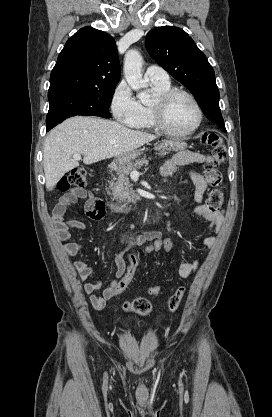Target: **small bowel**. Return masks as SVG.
<instances>
[{"instance_id": "obj_1", "label": "small bowel", "mask_w": 272, "mask_h": 417, "mask_svg": "<svg viewBox=\"0 0 272 417\" xmlns=\"http://www.w3.org/2000/svg\"><path fill=\"white\" fill-rule=\"evenodd\" d=\"M210 162L211 156L192 151H180L173 157L164 162L160 168L162 177H169L173 175L181 166H187L192 163ZM192 180L195 191L194 198L199 203L195 207V213L208 221L214 232H218L221 228L224 212H223V197L216 188L221 183V174L216 169H208L204 174L196 173L192 170L188 172ZM212 189L209 193L208 191ZM84 201V210L86 215L92 220H101L105 216V207L101 198L94 195L92 192L84 188H72L57 201L52 218L56 226L57 236L61 241H65L62 251L66 256H75L80 254L84 245L71 240V231L73 229L85 230L86 225L78 220H66L65 213L69 206ZM162 236L160 231H147L142 235L128 241L121 251L117 252L113 257V263L116 267L115 277L106 286L101 295L94 294L102 288V280L95 277L94 269L91 265L84 261H75L73 267L81 282H85L91 277H95L93 282H85L82 289L88 295V299L92 307L96 310H102L106 302L114 297V289L116 284L123 277L126 270V263L123 258V253L134 245H140L155 237ZM216 238L214 236H206L202 239V245L205 248L214 246ZM199 268V261L187 262L182 261L178 264L177 272L180 277L188 278L193 275Z\"/></svg>"}]
</instances>
